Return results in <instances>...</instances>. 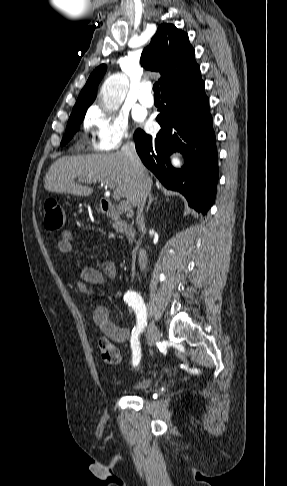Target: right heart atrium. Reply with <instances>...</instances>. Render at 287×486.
I'll return each mask as SVG.
<instances>
[{
	"label": "right heart atrium",
	"instance_id": "obj_1",
	"mask_svg": "<svg viewBox=\"0 0 287 486\" xmlns=\"http://www.w3.org/2000/svg\"><path fill=\"white\" fill-rule=\"evenodd\" d=\"M83 125L92 135L89 147L95 151H114L131 139L128 117L121 112L94 106L88 110Z\"/></svg>",
	"mask_w": 287,
	"mask_h": 486
}]
</instances>
